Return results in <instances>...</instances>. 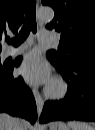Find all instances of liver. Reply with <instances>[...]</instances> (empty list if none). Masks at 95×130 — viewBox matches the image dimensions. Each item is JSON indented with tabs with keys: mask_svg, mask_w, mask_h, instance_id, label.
I'll return each instance as SVG.
<instances>
[{
	"mask_svg": "<svg viewBox=\"0 0 95 130\" xmlns=\"http://www.w3.org/2000/svg\"><path fill=\"white\" fill-rule=\"evenodd\" d=\"M28 123L20 120L19 128L27 130ZM17 120L6 113L0 114V130H17Z\"/></svg>",
	"mask_w": 95,
	"mask_h": 130,
	"instance_id": "1",
	"label": "liver"
}]
</instances>
